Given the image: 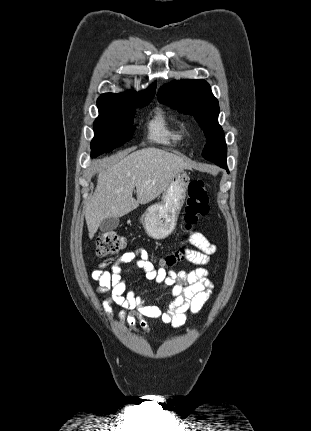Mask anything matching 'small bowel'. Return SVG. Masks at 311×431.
<instances>
[{"mask_svg": "<svg viewBox=\"0 0 311 431\" xmlns=\"http://www.w3.org/2000/svg\"><path fill=\"white\" fill-rule=\"evenodd\" d=\"M190 242L196 250L187 251V258L196 267L189 271L167 272L163 268L156 269L144 250L128 251L116 260L102 263L91 273V278L98 283V293L110 292V296L102 303L104 312L112 315V305L116 304L122 308L120 319L123 323L129 326L139 324L143 329H147L144 317L161 318L164 323L178 328L186 322L188 314H197L212 293L213 284L205 266L215 253L216 246L199 232L191 234ZM131 262L145 273L147 279L170 289L171 300L166 310L148 304L143 295L128 289L121 265ZM108 265H111L109 271L102 270Z\"/></svg>", "mask_w": 311, "mask_h": 431, "instance_id": "obj_1", "label": "small bowel"}]
</instances>
